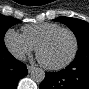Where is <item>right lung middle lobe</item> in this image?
Returning <instances> with one entry per match:
<instances>
[{"mask_svg":"<svg viewBox=\"0 0 89 89\" xmlns=\"http://www.w3.org/2000/svg\"><path fill=\"white\" fill-rule=\"evenodd\" d=\"M20 21L9 16H3L0 14V48H4V35L6 31L13 26L16 23H19Z\"/></svg>","mask_w":89,"mask_h":89,"instance_id":"obj_1","label":"right lung middle lobe"}]
</instances>
